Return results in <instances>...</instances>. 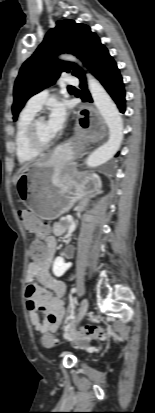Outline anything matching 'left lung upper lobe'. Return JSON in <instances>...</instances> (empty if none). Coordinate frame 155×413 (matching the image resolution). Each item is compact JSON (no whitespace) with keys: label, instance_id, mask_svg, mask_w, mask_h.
I'll return each mask as SVG.
<instances>
[{"label":"left lung upper lobe","instance_id":"1","mask_svg":"<svg viewBox=\"0 0 155 413\" xmlns=\"http://www.w3.org/2000/svg\"><path fill=\"white\" fill-rule=\"evenodd\" d=\"M104 47L89 26L73 20L57 21L56 27L49 30L34 54L20 68L14 85L13 119H17L31 96L54 84L63 71L78 78L84 75L75 63L57 60L58 54H74L90 68Z\"/></svg>","mask_w":155,"mask_h":413}]
</instances>
